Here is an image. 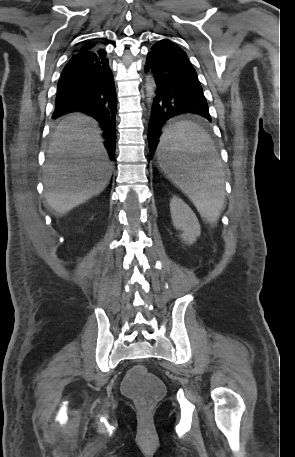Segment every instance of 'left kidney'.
Listing matches in <instances>:
<instances>
[{"instance_id": "5707ae66", "label": "left kidney", "mask_w": 295, "mask_h": 457, "mask_svg": "<svg viewBox=\"0 0 295 457\" xmlns=\"http://www.w3.org/2000/svg\"><path fill=\"white\" fill-rule=\"evenodd\" d=\"M172 222L177 230H181V238L186 244H193L201 234L198 219L190 207L178 197L170 202Z\"/></svg>"}]
</instances>
